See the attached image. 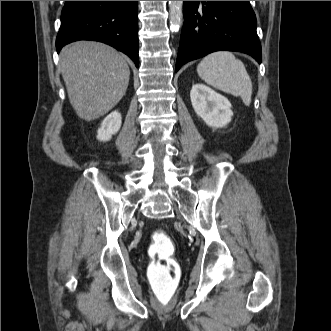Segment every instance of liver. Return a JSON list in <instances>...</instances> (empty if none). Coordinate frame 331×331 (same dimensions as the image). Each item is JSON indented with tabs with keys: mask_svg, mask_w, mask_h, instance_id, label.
<instances>
[{
	"mask_svg": "<svg viewBox=\"0 0 331 331\" xmlns=\"http://www.w3.org/2000/svg\"><path fill=\"white\" fill-rule=\"evenodd\" d=\"M61 73L78 117L91 121L108 113L125 95L130 70L110 46L77 41L60 53Z\"/></svg>",
	"mask_w": 331,
	"mask_h": 331,
	"instance_id": "1",
	"label": "liver"
}]
</instances>
